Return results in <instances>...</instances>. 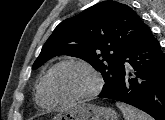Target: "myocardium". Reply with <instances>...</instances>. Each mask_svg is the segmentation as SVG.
<instances>
[{
  "label": "myocardium",
  "instance_id": "myocardium-1",
  "mask_svg": "<svg viewBox=\"0 0 165 120\" xmlns=\"http://www.w3.org/2000/svg\"><path fill=\"white\" fill-rule=\"evenodd\" d=\"M64 65H78L86 69L94 79L93 87L89 91L70 99H60L57 96H55L49 84L50 77L57 68ZM103 84H104L103 79L94 66H92L90 63H88L85 60L76 59V58H67L58 61L57 63H55L50 67V69L47 71V73L44 76V88L47 95L55 104H62V105H68V104L85 101L97 96L101 92L103 88Z\"/></svg>",
  "mask_w": 165,
  "mask_h": 120
}]
</instances>
